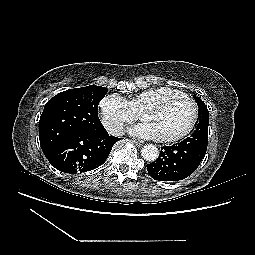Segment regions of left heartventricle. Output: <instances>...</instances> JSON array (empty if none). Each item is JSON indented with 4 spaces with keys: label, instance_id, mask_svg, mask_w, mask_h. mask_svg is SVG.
<instances>
[{
    "label": "left heart ventricle",
    "instance_id": "b2bd125f",
    "mask_svg": "<svg viewBox=\"0 0 255 255\" xmlns=\"http://www.w3.org/2000/svg\"><path fill=\"white\" fill-rule=\"evenodd\" d=\"M192 118V108L181 98H173L157 108L142 113L143 121L153 125L157 137L176 134L185 129Z\"/></svg>",
    "mask_w": 255,
    "mask_h": 255
}]
</instances>
